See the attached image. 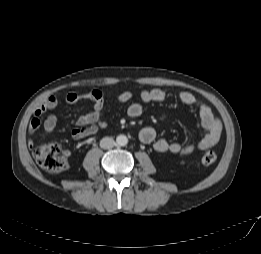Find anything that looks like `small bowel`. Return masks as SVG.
<instances>
[{
	"instance_id": "small-bowel-1",
	"label": "small bowel",
	"mask_w": 261,
	"mask_h": 254,
	"mask_svg": "<svg viewBox=\"0 0 261 254\" xmlns=\"http://www.w3.org/2000/svg\"><path fill=\"white\" fill-rule=\"evenodd\" d=\"M176 97L182 104L196 110L204 130V136L194 145H182L164 138H157L155 129L146 126L139 132L140 141L144 144H152L154 150L158 153H172L183 156L191 155L195 150H206L216 145L220 139L222 128L221 123L214 116L210 108L188 91H180ZM132 98L133 94L130 91H123L116 95L114 100L117 103L126 104ZM167 98V94L161 89L143 90L139 94V101L128 105L126 109L127 115L130 118H137L143 112V103H161L165 102ZM85 100L93 102V109L76 120L75 126L71 131V135L75 139L94 135L107 126V123L103 120L105 97L100 90L94 89L83 93L70 92L63 98V101L67 104H76ZM59 104L60 99L58 97L49 96L35 109L29 124L30 135H33L41 127L48 133L54 131L58 122L57 116L51 114L45 120H42V115L47 111L56 109ZM32 144V141H30L29 145L32 146Z\"/></svg>"
}]
</instances>
